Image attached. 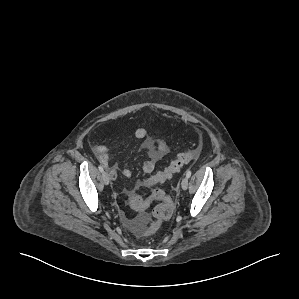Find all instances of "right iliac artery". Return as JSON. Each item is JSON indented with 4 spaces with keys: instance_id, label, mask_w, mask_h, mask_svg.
<instances>
[{
    "instance_id": "82829eb1",
    "label": "right iliac artery",
    "mask_w": 299,
    "mask_h": 299,
    "mask_svg": "<svg viewBox=\"0 0 299 299\" xmlns=\"http://www.w3.org/2000/svg\"><path fill=\"white\" fill-rule=\"evenodd\" d=\"M98 169H99L100 172L104 171V169H103V167L101 165L98 166Z\"/></svg>"
}]
</instances>
